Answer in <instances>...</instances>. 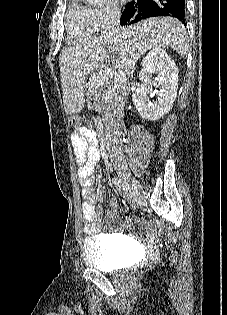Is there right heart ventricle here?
Masks as SVG:
<instances>
[{
	"label": "right heart ventricle",
	"instance_id": "obj_1",
	"mask_svg": "<svg viewBox=\"0 0 227 315\" xmlns=\"http://www.w3.org/2000/svg\"><path fill=\"white\" fill-rule=\"evenodd\" d=\"M64 21L67 40L70 44L84 42L97 35L101 30L96 20L94 8L85 5L82 0H70Z\"/></svg>",
	"mask_w": 227,
	"mask_h": 315
}]
</instances>
